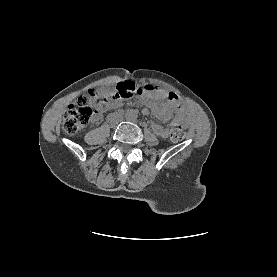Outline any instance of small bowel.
<instances>
[{
  "mask_svg": "<svg viewBox=\"0 0 277 277\" xmlns=\"http://www.w3.org/2000/svg\"><path fill=\"white\" fill-rule=\"evenodd\" d=\"M112 91V90H110ZM109 92V91H108ZM151 93L154 95L156 99L161 100V102L157 101H149L147 100V106L146 108H143L142 113L143 115H149L150 110L161 120H168L173 112H176V119L177 120H184L188 121V119L185 117L182 109L177 108L178 98L175 95V93L170 91L161 90L155 86H148L146 90H142L141 94ZM121 104V100L113 101L109 106L99 109L95 115L93 116V122L97 123L100 121L102 113L104 110H106L109 107L118 106ZM152 128L154 132L163 138H167L170 135V129L163 127L162 125L158 123H153Z\"/></svg>",
  "mask_w": 277,
  "mask_h": 277,
  "instance_id": "1",
  "label": "small bowel"
}]
</instances>
